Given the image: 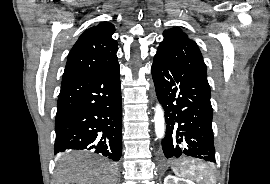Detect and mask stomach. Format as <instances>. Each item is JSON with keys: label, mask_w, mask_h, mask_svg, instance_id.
<instances>
[{"label": "stomach", "mask_w": 270, "mask_h": 184, "mask_svg": "<svg viewBox=\"0 0 270 184\" xmlns=\"http://www.w3.org/2000/svg\"><path fill=\"white\" fill-rule=\"evenodd\" d=\"M188 167V163L185 161H176L172 165V169L176 174H181V171Z\"/></svg>", "instance_id": "0dacf381"}]
</instances>
